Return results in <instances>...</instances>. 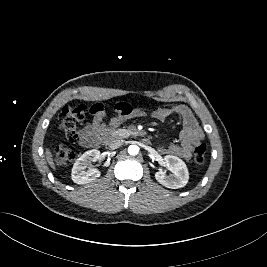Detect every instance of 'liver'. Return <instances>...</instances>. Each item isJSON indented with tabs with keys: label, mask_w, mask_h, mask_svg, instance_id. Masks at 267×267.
<instances>
[{
	"label": "liver",
	"mask_w": 267,
	"mask_h": 267,
	"mask_svg": "<svg viewBox=\"0 0 267 267\" xmlns=\"http://www.w3.org/2000/svg\"><path fill=\"white\" fill-rule=\"evenodd\" d=\"M45 155H46V160H47L48 164L50 165V167L53 170H55L56 167H55L54 162H53V156H52V153L50 152V150L48 148L46 149Z\"/></svg>",
	"instance_id": "obj_1"
}]
</instances>
